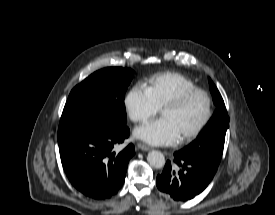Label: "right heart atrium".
I'll list each match as a JSON object with an SVG mask.
<instances>
[{
    "mask_svg": "<svg viewBox=\"0 0 275 215\" xmlns=\"http://www.w3.org/2000/svg\"><path fill=\"white\" fill-rule=\"evenodd\" d=\"M124 104L129 118L136 123L147 121L159 110L146 88L141 84L133 86L128 91Z\"/></svg>",
    "mask_w": 275,
    "mask_h": 215,
    "instance_id": "d8ad5b80",
    "label": "right heart atrium"
}]
</instances>
